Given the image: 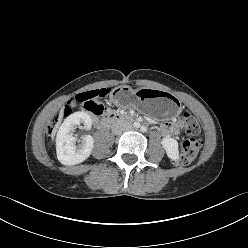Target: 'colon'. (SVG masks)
<instances>
[{"label": "colon", "instance_id": "5ec220e1", "mask_svg": "<svg viewBox=\"0 0 248 248\" xmlns=\"http://www.w3.org/2000/svg\"><path fill=\"white\" fill-rule=\"evenodd\" d=\"M109 94L110 89L86 91L76 97V103L81 104L87 110L101 114L104 111L103 102ZM74 105L75 103H70L65 108L64 113L68 114L71 112ZM183 122L187 139L182 143L179 157L175 162L181 165H188L195 160L201 147L200 126L197 120L189 113L183 114ZM57 123V118H54L50 122L48 127L50 132L55 128Z\"/></svg>", "mask_w": 248, "mask_h": 248}]
</instances>
